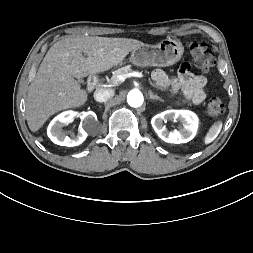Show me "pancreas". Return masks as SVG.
<instances>
[{
    "label": "pancreas",
    "instance_id": "cf45deb5",
    "mask_svg": "<svg viewBox=\"0 0 253 253\" xmlns=\"http://www.w3.org/2000/svg\"><path fill=\"white\" fill-rule=\"evenodd\" d=\"M130 72H132L131 65L121 67V68L115 70L113 78L118 76V75L127 74V73H130Z\"/></svg>",
    "mask_w": 253,
    "mask_h": 253
}]
</instances>
